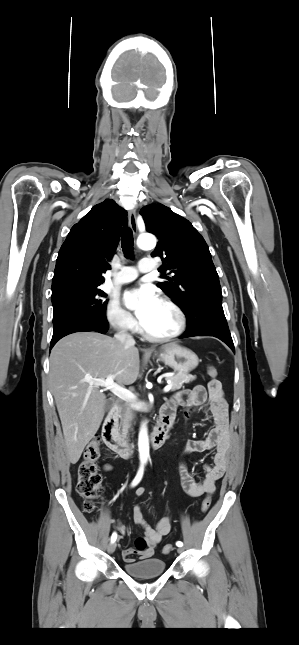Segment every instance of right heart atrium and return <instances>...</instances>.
I'll return each mask as SVG.
<instances>
[{
    "label": "right heart atrium",
    "instance_id": "1",
    "mask_svg": "<svg viewBox=\"0 0 299 645\" xmlns=\"http://www.w3.org/2000/svg\"><path fill=\"white\" fill-rule=\"evenodd\" d=\"M106 320L111 327L118 331L131 332L136 329L133 317L115 300L110 301L107 305Z\"/></svg>",
    "mask_w": 299,
    "mask_h": 645
}]
</instances>
